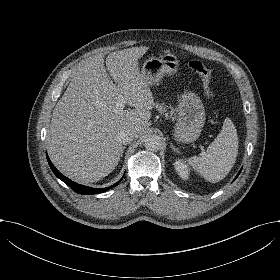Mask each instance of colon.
<instances>
[{"mask_svg":"<svg viewBox=\"0 0 280 280\" xmlns=\"http://www.w3.org/2000/svg\"><path fill=\"white\" fill-rule=\"evenodd\" d=\"M185 65L194 73L198 74L204 83L206 95L211 96L212 75L210 70L201 61L190 58L185 61Z\"/></svg>","mask_w":280,"mask_h":280,"instance_id":"5ec220e1","label":"colon"}]
</instances>
